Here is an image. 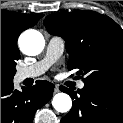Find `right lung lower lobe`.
I'll return each instance as SVG.
<instances>
[{
	"label": "right lung lower lobe",
	"mask_w": 123,
	"mask_h": 123,
	"mask_svg": "<svg viewBox=\"0 0 123 123\" xmlns=\"http://www.w3.org/2000/svg\"><path fill=\"white\" fill-rule=\"evenodd\" d=\"M54 85L38 80L22 91L14 89L13 81L1 83V123H32L37 109L52 97Z\"/></svg>",
	"instance_id": "right-lung-lower-lobe-1"
}]
</instances>
